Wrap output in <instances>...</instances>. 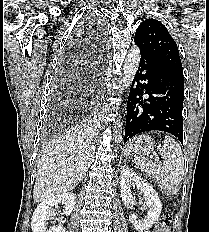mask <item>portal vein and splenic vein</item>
<instances>
[{"label":"portal vein and splenic vein","mask_w":209,"mask_h":232,"mask_svg":"<svg viewBox=\"0 0 209 232\" xmlns=\"http://www.w3.org/2000/svg\"><path fill=\"white\" fill-rule=\"evenodd\" d=\"M155 161H159V157L156 156V157H155Z\"/></svg>","instance_id":"1"}]
</instances>
